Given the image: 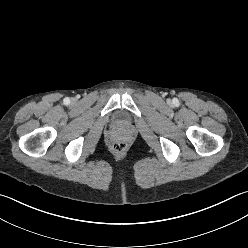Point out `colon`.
Listing matches in <instances>:
<instances>
[{
  "instance_id": "5ec220e1",
  "label": "colon",
  "mask_w": 248,
  "mask_h": 248,
  "mask_svg": "<svg viewBox=\"0 0 248 248\" xmlns=\"http://www.w3.org/2000/svg\"><path fill=\"white\" fill-rule=\"evenodd\" d=\"M127 144L123 139H117L112 144V150L116 154H122L126 151Z\"/></svg>"
}]
</instances>
